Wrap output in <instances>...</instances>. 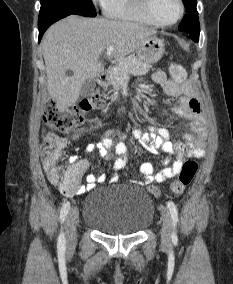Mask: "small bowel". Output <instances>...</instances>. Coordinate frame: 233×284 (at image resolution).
Instances as JSON below:
<instances>
[{
  "label": "small bowel",
  "mask_w": 233,
  "mask_h": 284,
  "mask_svg": "<svg viewBox=\"0 0 233 284\" xmlns=\"http://www.w3.org/2000/svg\"><path fill=\"white\" fill-rule=\"evenodd\" d=\"M152 78L163 88L167 95L179 99L174 112L190 121L192 132L185 135V143H173L170 140V133L165 128L151 126L146 132L140 129L133 130L132 135L139 142L154 150L176 155L177 157L171 165L157 173H155L152 163L143 162L139 170L144 180L137 182L140 185H149L153 182L162 183L167 179L176 177L180 173L185 158H201L204 156L207 137L200 101L192 86L186 82H177L169 79L164 71H156ZM125 140V134L109 130L102 141L97 144L87 145L86 153L97 152L100 157L107 161L111 160L114 155H117L118 158L113 163V169L119 171L126 166V156L132 152ZM42 163L49 181L57 185L55 170L46 162L42 161ZM88 168L89 162L86 159H79L77 156L72 155L69 158V166L65 172L77 173L82 176L87 172ZM105 179L106 176L104 174L99 176L89 174L86 178L87 185L79 187L76 193L82 194L92 190L97 183H102Z\"/></svg>",
  "instance_id": "obj_1"
}]
</instances>
